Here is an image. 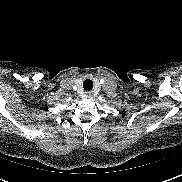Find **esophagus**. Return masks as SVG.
<instances>
[{
	"mask_svg": "<svg viewBox=\"0 0 182 182\" xmlns=\"http://www.w3.org/2000/svg\"><path fill=\"white\" fill-rule=\"evenodd\" d=\"M92 92L91 91H87L86 93H85V96L87 97V98H92Z\"/></svg>",
	"mask_w": 182,
	"mask_h": 182,
	"instance_id": "1",
	"label": "esophagus"
}]
</instances>
